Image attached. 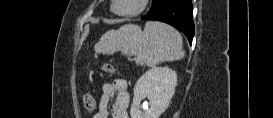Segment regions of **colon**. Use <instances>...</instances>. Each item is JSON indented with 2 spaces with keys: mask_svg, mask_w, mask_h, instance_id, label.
<instances>
[{
  "mask_svg": "<svg viewBox=\"0 0 273 118\" xmlns=\"http://www.w3.org/2000/svg\"><path fill=\"white\" fill-rule=\"evenodd\" d=\"M103 70L108 74H114L115 69L110 65H104ZM83 103L87 110L93 111L95 109V102L93 98L90 96V94H84L83 95Z\"/></svg>",
  "mask_w": 273,
  "mask_h": 118,
  "instance_id": "colon-1",
  "label": "colon"
}]
</instances>
